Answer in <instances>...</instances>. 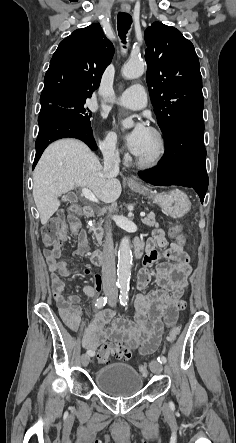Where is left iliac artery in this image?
Here are the masks:
<instances>
[{"label": "left iliac artery", "instance_id": "left-iliac-artery-1", "mask_svg": "<svg viewBox=\"0 0 236 443\" xmlns=\"http://www.w3.org/2000/svg\"><path fill=\"white\" fill-rule=\"evenodd\" d=\"M128 291H129V286H123L121 288L119 299H120V304L123 305V306L127 305ZM157 360L160 363H166V361H167L166 357H164V356H159L157 358Z\"/></svg>", "mask_w": 236, "mask_h": 443}]
</instances>
